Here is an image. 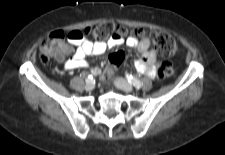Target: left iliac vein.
Instances as JSON below:
<instances>
[{"label":"left iliac vein","mask_w":225,"mask_h":155,"mask_svg":"<svg viewBox=\"0 0 225 155\" xmlns=\"http://www.w3.org/2000/svg\"><path fill=\"white\" fill-rule=\"evenodd\" d=\"M115 83L126 92H133V86L122 78H116Z\"/></svg>","instance_id":"obj_1"}]
</instances>
